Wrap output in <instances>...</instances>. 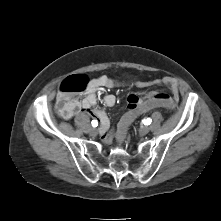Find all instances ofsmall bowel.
Returning a JSON list of instances; mask_svg holds the SVG:
<instances>
[{"instance_id":"1","label":"small bowel","mask_w":221,"mask_h":221,"mask_svg":"<svg viewBox=\"0 0 221 221\" xmlns=\"http://www.w3.org/2000/svg\"><path fill=\"white\" fill-rule=\"evenodd\" d=\"M154 83L167 86L171 92V95L169 96L170 99L177 102L179 97V87L174 78L164 77L162 79L155 80ZM115 86H117V82L112 78L106 75L98 76L90 81L87 92L82 99L74 98L70 103V114L68 118H70L76 112H84L95 117L100 122V131L105 142H111L113 135L110 132V120L107 113L105 110L95 107L97 104L96 92L100 88H114ZM154 94H152V92L149 90L144 92L138 91L130 94L128 96L127 110L132 106H136L145 101L153 99ZM103 102L107 108H111L116 102L115 96L112 94H107L104 96ZM115 136L118 139V135L116 133Z\"/></svg>"}]
</instances>
